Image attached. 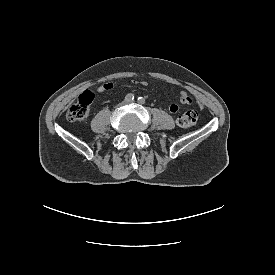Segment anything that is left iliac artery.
<instances>
[{"mask_svg":"<svg viewBox=\"0 0 275 275\" xmlns=\"http://www.w3.org/2000/svg\"><path fill=\"white\" fill-rule=\"evenodd\" d=\"M138 103L139 104H144L145 103V99L143 97H139L138 98Z\"/></svg>","mask_w":275,"mask_h":275,"instance_id":"obj_1","label":"left iliac artery"}]
</instances>
